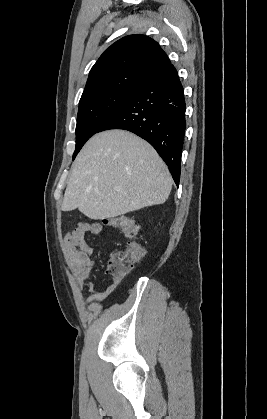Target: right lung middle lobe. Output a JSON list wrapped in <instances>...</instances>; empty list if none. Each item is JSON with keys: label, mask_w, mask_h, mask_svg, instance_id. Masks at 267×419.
<instances>
[{"label": "right lung middle lobe", "mask_w": 267, "mask_h": 419, "mask_svg": "<svg viewBox=\"0 0 267 419\" xmlns=\"http://www.w3.org/2000/svg\"><path fill=\"white\" fill-rule=\"evenodd\" d=\"M139 88L129 86L102 91L80 99L76 125V148L73 160L103 123L110 118Z\"/></svg>", "instance_id": "right-lung-middle-lobe-1"}]
</instances>
